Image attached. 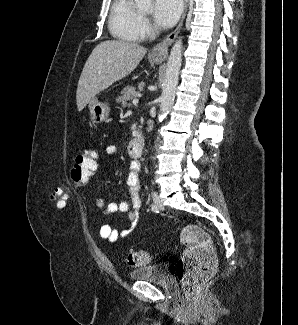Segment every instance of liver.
I'll return each mask as SVG.
<instances>
[{"label": "liver", "instance_id": "obj_1", "mask_svg": "<svg viewBox=\"0 0 298 325\" xmlns=\"http://www.w3.org/2000/svg\"><path fill=\"white\" fill-rule=\"evenodd\" d=\"M148 48L138 42L103 40L89 54L76 90L77 110L81 112L96 94L137 68Z\"/></svg>", "mask_w": 298, "mask_h": 325}]
</instances>
